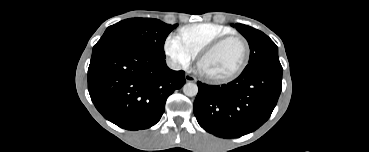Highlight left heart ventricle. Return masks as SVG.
<instances>
[{"label":"left heart ventricle","mask_w":369,"mask_h":152,"mask_svg":"<svg viewBox=\"0 0 369 152\" xmlns=\"http://www.w3.org/2000/svg\"><path fill=\"white\" fill-rule=\"evenodd\" d=\"M244 52V46L240 40H230L205 58L201 69L212 76H226L241 65Z\"/></svg>","instance_id":"1"}]
</instances>
